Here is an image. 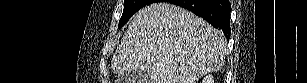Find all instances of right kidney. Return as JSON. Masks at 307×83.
<instances>
[{
  "label": "right kidney",
  "mask_w": 307,
  "mask_h": 83,
  "mask_svg": "<svg viewBox=\"0 0 307 83\" xmlns=\"http://www.w3.org/2000/svg\"><path fill=\"white\" fill-rule=\"evenodd\" d=\"M202 83H214L213 76L207 75L203 78Z\"/></svg>",
  "instance_id": "1"
}]
</instances>
